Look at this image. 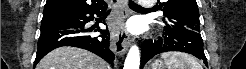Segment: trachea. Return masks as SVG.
<instances>
[{"label": "trachea", "mask_w": 246, "mask_h": 69, "mask_svg": "<svg viewBox=\"0 0 246 69\" xmlns=\"http://www.w3.org/2000/svg\"><path fill=\"white\" fill-rule=\"evenodd\" d=\"M129 5H130V7L139 8V9H143V10H149V9L141 7L140 5L136 4L132 0H129Z\"/></svg>", "instance_id": "obj_1"}]
</instances>
